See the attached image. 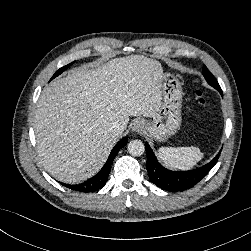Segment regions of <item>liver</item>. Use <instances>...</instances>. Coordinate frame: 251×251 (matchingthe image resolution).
Returning a JSON list of instances; mask_svg holds the SVG:
<instances>
[{
	"instance_id": "liver-1",
	"label": "liver",
	"mask_w": 251,
	"mask_h": 251,
	"mask_svg": "<svg viewBox=\"0 0 251 251\" xmlns=\"http://www.w3.org/2000/svg\"><path fill=\"white\" fill-rule=\"evenodd\" d=\"M159 61L143 55L115 58L96 69H73L41 93L34 118L38 154L46 171L80 183L104 165L117 141L114 122L154 117L162 104Z\"/></svg>"
}]
</instances>
